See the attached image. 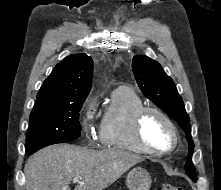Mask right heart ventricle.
<instances>
[{"mask_svg": "<svg viewBox=\"0 0 221 190\" xmlns=\"http://www.w3.org/2000/svg\"><path fill=\"white\" fill-rule=\"evenodd\" d=\"M144 107L137 92L129 86L115 88L104 110L99 126V140L104 148L144 153L134 140L133 119Z\"/></svg>", "mask_w": 221, "mask_h": 190, "instance_id": "right-heart-ventricle-1", "label": "right heart ventricle"}]
</instances>
